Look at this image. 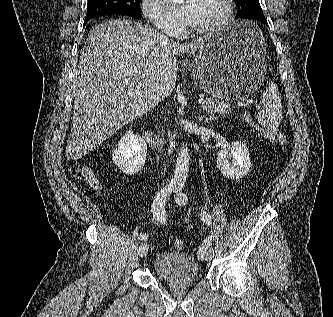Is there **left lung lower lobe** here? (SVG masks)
Here are the masks:
<instances>
[{
    "instance_id": "0a47b994",
    "label": "left lung lower lobe",
    "mask_w": 333,
    "mask_h": 317,
    "mask_svg": "<svg viewBox=\"0 0 333 317\" xmlns=\"http://www.w3.org/2000/svg\"><path fill=\"white\" fill-rule=\"evenodd\" d=\"M241 19H256V20H260L263 23H265L266 25H268L267 20L265 19L263 13L262 14L253 13V14H250L248 16L241 17Z\"/></svg>"
}]
</instances>
